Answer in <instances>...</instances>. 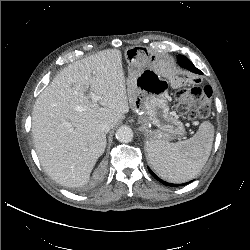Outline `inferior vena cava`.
<instances>
[{"instance_id":"602c4592","label":"inferior vena cava","mask_w":250,"mask_h":250,"mask_svg":"<svg viewBox=\"0 0 250 250\" xmlns=\"http://www.w3.org/2000/svg\"><path fill=\"white\" fill-rule=\"evenodd\" d=\"M99 129L100 131L104 132V133H107L109 132V130L111 129V126L109 123L107 122H102L100 125H99Z\"/></svg>"}]
</instances>
